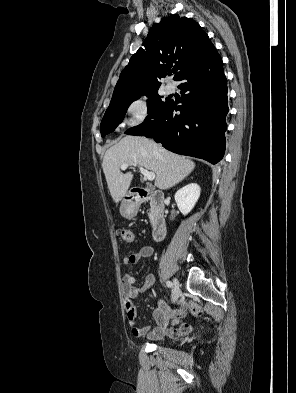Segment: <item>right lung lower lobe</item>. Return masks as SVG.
I'll use <instances>...</instances> for the list:
<instances>
[{
    "mask_svg": "<svg viewBox=\"0 0 296 393\" xmlns=\"http://www.w3.org/2000/svg\"><path fill=\"white\" fill-rule=\"evenodd\" d=\"M177 81H181V93H187L182 96V105L169 99L152 120L125 133L153 138L172 152L216 164L225 152V117L229 109L227 79L215 47H209Z\"/></svg>",
    "mask_w": 296,
    "mask_h": 393,
    "instance_id": "right-lung-lower-lobe-1",
    "label": "right lung lower lobe"
}]
</instances>
